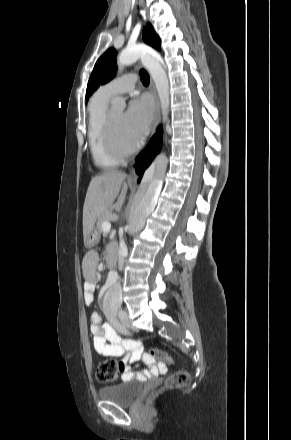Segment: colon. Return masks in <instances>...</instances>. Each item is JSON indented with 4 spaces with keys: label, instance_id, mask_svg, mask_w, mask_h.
I'll list each match as a JSON object with an SVG mask.
<instances>
[{
    "label": "colon",
    "instance_id": "obj_1",
    "mask_svg": "<svg viewBox=\"0 0 291 440\" xmlns=\"http://www.w3.org/2000/svg\"><path fill=\"white\" fill-rule=\"evenodd\" d=\"M159 357L161 359L170 360L163 352L158 350H151L145 354V358L154 359ZM119 367L113 360H107L96 368V377L100 382L107 383L117 379L119 374ZM190 381V375L186 371H177L173 373L167 381V387L170 389L185 386Z\"/></svg>",
    "mask_w": 291,
    "mask_h": 440
}]
</instances>
